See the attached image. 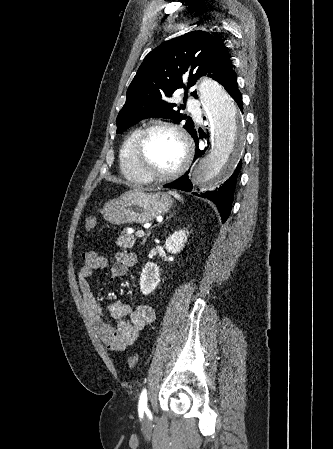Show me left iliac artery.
I'll return each instance as SVG.
<instances>
[{
  "mask_svg": "<svg viewBox=\"0 0 333 449\" xmlns=\"http://www.w3.org/2000/svg\"><path fill=\"white\" fill-rule=\"evenodd\" d=\"M138 412L140 416H143V413H150L149 409L147 407V391L144 389L139 397V403H138Z\"/></svg>",
  "mask_w": 333,
  "mask_h": 449,
  "instance_id": "obj_1",
  "label": "left iliac artery"
}]
</instances>
